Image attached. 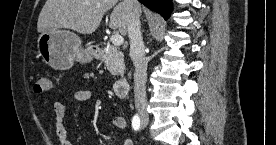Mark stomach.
Returning <instances> with one entry per match:
<instances>
[{"label":"stomach","instance_id":"0dacf381","mask_svg":"<svg viewBox=\"0 0 276 145\" xmlns=\"http://www.w3.org/2000/svg\"><path fill=\"white\" fill-rule=\"evenodd\" d=\"M37 43L44 62L55 70H68L74 61L88 63L94 58L92 48L84 49L80 37L69 30L43 32Z\"/></svg>","mask_w":276,"mask_h":145}]
</instances>
